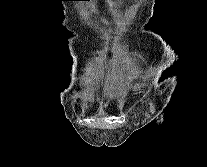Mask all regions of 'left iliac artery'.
I'll list each match as a JSON object with an SVG mask.
<instances>
[{
	"mask_svg": "<svg viewBox=\"0 0 207 167\" xmlns=\"http://www.w3.org/2000/svg\"><path fill=\"white\" fill-rule=\"evenodd\" d=\"M149 105H150V112H151L152 114H154V113H155V108H154L153 103L150 102Z\"/></svg>",
	"mask_w": 207,
	"mask_h": 167,
	"instance_id": "1",
	"label": "left iliac artery"
}]
</instances>
